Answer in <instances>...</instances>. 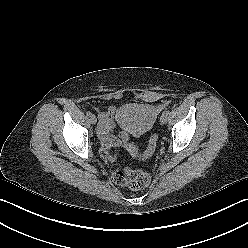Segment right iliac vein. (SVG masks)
Wrapping results in <instances>:
<instances>
[{
  "mask_svg": "<svg viewBox=\"0 0 248 248\" xmlns=\"http://www.w3.org/2000/svg\"><path fill=\"white\" fill-rule=\"evenodd\" d=\"M90 122H91L92 124H96L97 119H96V116H95V115H91V116H90Z\"/></svg>",
  "mask_w": 248,
  "mask_h": 248,
  "instance_id": "1",
  "label": "right iliac vein"
}]
</instances>
